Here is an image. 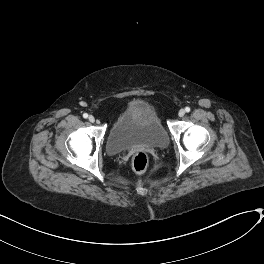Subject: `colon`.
I'll list each match as a JSON object with an SVG mask.
<instances>
[{
  "instance_id": "colon-1",
  "label": "colon",
  "mask_w": 264,
  "mask_h": 264,
  "mask_svg": "<svg viewBox=\"0 0 264 264\" xmlns=\"http://www.w3.org/2000/svg\"><path fill=\"white\" fill-rule=\"evenodd\" d=\"M148 166V155L144 151L136 153L132 159V167L138 172L142 173Z\"/></svg>"
}]
</instances>
